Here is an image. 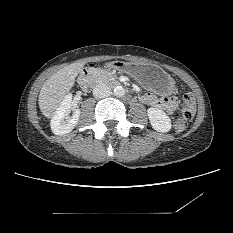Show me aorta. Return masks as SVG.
Segmentation results:
<instances>
[{
    "mask_svg": "<svg viewBox=\"0 0 233 233\" xmlns=\"http://www.w3.org/2000/svg\"><path fill=\"white\" fill-rule=\"evenodd\" d=\"M114 94L117 96V97H122L125 95V89L122 87V86H117L115 89H114Z\"/></svg>",
    "mask_w": 233,
    "mask_h": 233,
    "instance_id": "aorta-1",
    "label": "aorta"
}]
</instances>
